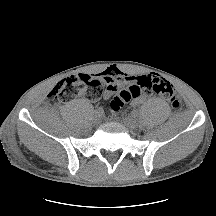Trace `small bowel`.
<instances>
[{"mask_svg":"<svg viewBox=\"0 0 216 216\" xmlns=\"http://www.w3.org/2000/svg\"><path fill=\"white\" fill-rule=\"evenodd\" d=\"M146 75L134 76L120 70L117 67H110L98 74L105 83V90L103 97L105 99L110 98L119 87L121 86H133L139 83V81ZM150 93L148 91H142L137 97L132 99V105L137 106L143 103L145 97Z\"/></svg>","mask_w":216,"mask_h":216,"instance_id":"c3829d8e","label":"small bowel"}]
</instances>
